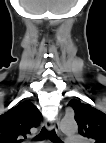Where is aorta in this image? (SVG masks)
<instances>
[{
  "label": "aorta",
  "instance_id": "aorta-1",
  "mask_svg": "<svg viewBox=\"0 0 106 143\" xmlns=\"http://www.w3.org/2000/svg\"><path fill=\"white\" fill-rule=\"evenodd\" d=\"M77 123L74 118H63L60 122V129L67 135H72L77 132Z\"/></svg>",
  "mask_w": 106,
  "mask_h": 143
}]
</instances>
